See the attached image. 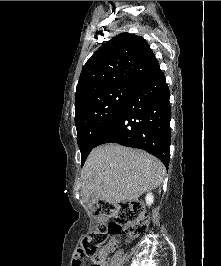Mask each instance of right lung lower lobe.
<instances>
[{
    "mask_svg": "<svg viewBox=\"0 0 221 266\" xmlns=\"http://www.w3.org/2000/svg\"><path fill=\"white\" fill-rule=\"evenodd\" d=\"M169 88L159 68L133 89L118 116L99 136L96 146L118 143L143 149L169 165Z\"/></svg>",
    "mask_w": 221,
    "mask_h": 266,
    "instance_id": "obj_1",
    "label": "right lung lower lobe"
}]
</instances>
